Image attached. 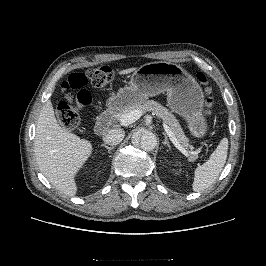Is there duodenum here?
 <instances>
[{
    "label": "duodenum",
    "mask_w": 266,
    "mask_h": 266,
    "mask_svg": "<svg viewBox=\"0 0 266 266\" xmlns=\"http://www.w3.org/2000/svg\"><path fill=\"white\" fill-rule=\"evenodd\" d=\"M113 117L114 112L111 109L106 110L100 114L95 123V132L97 135H102L108 130L113 120Z\"/></svg>",
    "instance_id": "duodenum-1"
}]
</instances>
